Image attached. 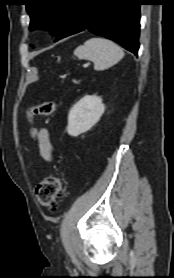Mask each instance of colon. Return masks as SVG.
I'll use <instances>...</instances> for the list:
<instances>
[{"label": "colon", "mask_w": 174, "mask_h": 278, "mask_svg": "<svg viewBox=\"0 0 174 278\" xmlns=\"http://www.w3.org/2000/svg\"><path fill=\"white\" fill-rule=\"evenodd\" d=\"M55 110V102L44 101L31 107L27 112V118L31 122L34 116L49 117L55 113ZM30 134L31 138L37 141L36 131L32 130ZM35 193L40 204L49 210H55L58 206V200L67 195L61 179L57 176L46 177L37 185Z\"/></svg>", "instance_id": "obj_1"}]
</instances>
